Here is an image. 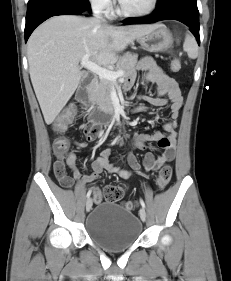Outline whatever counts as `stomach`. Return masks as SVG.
<instances>
[{"label": "stomach", "instance_id": "stomach-1", "mask_svg": "<svg viewBox=\"0 0 231 281\" xmlns=\"http://www.w3.org/2000/svg\"><path fill=\"white\" fill-rule=\"evenodd\" d=\"M137 40L143 49L149 52L165 51L169 49L173 43V37L164 25H160L150 33L139 37Z\"/></svg>", "mask_w": 231, "mask_h": 281}]
</instances>
